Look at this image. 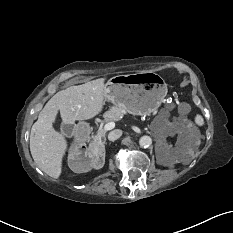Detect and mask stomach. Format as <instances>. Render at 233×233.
I'll use <instances>...</instances> for the list:
<instances>
[{
    "instance_id": "stomach-1",
    "label": "stomach",
    "mask_w": 233,
    "mask_h": 233,
    "mask_svg": "<svg viewBox=\"0 0 233 233\" xmlns=\"http://www.w3.org/2000/svg\"><path fill=\"white\" fill-rule=\"evenodd\" d=\"M167 92V84L154 72L117 75L105 84V100L133 115L158 110Z\"/></svg>"
}]
</instances>
